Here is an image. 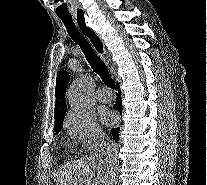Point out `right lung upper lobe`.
I'll list each match as a JSON object with an SVG mask.
<instances>
[{
  "label": "right lung upper lobe",
  "instance_id": "1",
  "mask_svg": "<svg viewBox=\"0 0 207 185\" xmlns=\"http://www.w3.org/2000/svg\"><path fill=\"white\" fill-rule=\"evenodd\" d=\"M69 82V75L61 70L57 75L56 81V105L54 111L55 129L62 127L66 112L65 91Z\"/></svg>",
  "mask_w": 207,
  "mask_h": 185
}]
</instances>
